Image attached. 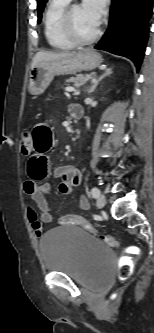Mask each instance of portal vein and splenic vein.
<instances>
[{"instance_id": "18ae733b", "label": "portal vein and splenic vein", "mask_w": 154, "mask_h": 333, "mask_svg": "<svg viewBox=\"0 0 154 333\" xmlns=\"http://www.w3.org/2000/svg\"><path fill=\"white\" fill-rule=\"evenodd\" d=\"M95 77H93L94 79ZM66 91L68 92H74L75 94H79V92H77L74 88H66Z\"/></svg>"}]
</instances>
